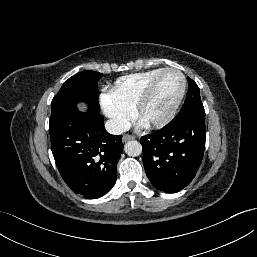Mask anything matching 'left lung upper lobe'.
Instances as JSON below:
<instances>
[{
	"label": "left lung upper lobe",
	"instance_id": "obj_1",
	"mask_svg": "<svg viewBox=\"0 0 257 257\" xmlns=\"http://www.w3.org/2000/svg\"><path fill=\"white\" fill-rule=\"evenodd\" d=\"M187 80H188V92H187L186 100L181 110L179 111V113L175 118H182L188 115L205 116V110L200 98L199 87L191 78L188 77Z\"/></svg>",
	"mask_w": 257,
	"mask_h": 257
}]
</instances>
